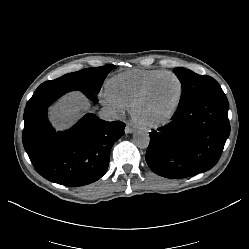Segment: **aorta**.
Instances as JSON below:
<instances>
[{"label": "aorta", "mask_w": 249, "mask_h": 249, "mask_svg": "<svg viewBox=\"0 0 249 249\" xmlns=\"http://www.w3.org/2000/svg\"><path fill=\"white\" fill-rule=\"evenodd\" d=\"M150 142L149 134L144 131H136L133 134V143L141 149L148 147Z\"/></svg>", "instance_id": "762f6f07"}]
</instances>
